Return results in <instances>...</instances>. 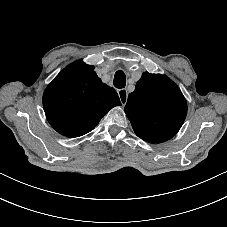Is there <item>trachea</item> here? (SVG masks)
Returning <instances> with one entry per match:
<instances>
[{"label":"trachea","instance_id":"3493384b","mask_svg":"<svg viewBox=\"0 0 227 227\" xmlns=\"http://www.w3.org/2000/svg\"><path fill=\"white\" fill-rule=\"evenodd\" d=\"M113 84L119 89H123L126 86V76L123 71L119 70L115 73Z\"/></svg>","mask_w":227,"mask_h":227}]
</instances>
